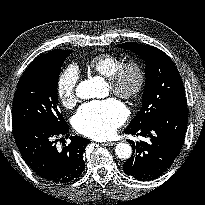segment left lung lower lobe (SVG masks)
Masks as SVG:
<instances>
[{
	"instance_id": "obj_1",
	"label": "left lung lower lobe",
	"mask_w": 205,
	"mask_h": 205,
	"mask_svg": "<svg viewBox=\"0 0 205 205\" xmlns=\"http://www.w3.org/2000/svg\"><path fill=\"white\" fill-rule=\"evenodd\" d=\"M187 122V105L182 104L166 109L139 127L126 128L125 133L143 136L146 140L129 141L133 155L124 163V172L140 181L162 175L182 149Z\"/></svg>"
}]
</instances>
